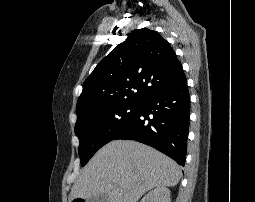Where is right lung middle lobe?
I'll return each mask as SVG.
<instances>
[{
  "instance_id": "dd1d6c3e",
  "label": "right lung middle lobe",
  "mask_w": 255,
  "mask_h": 202,
  "mask_svg": "<svg viewBox=\"0 0 255 202\" xmlns=\"http://www.w3.org/2000/svg\"><path fill=\"white\" fill-rule=\"evenodd\" d=\"M141 103H123L100 108L77 119L79 157L84 166L95 152L112 141L135 117Z\"/></svg>"
}]
</instances>
